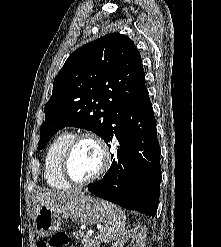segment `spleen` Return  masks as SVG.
Here are the masks:
<instances>
[{
  "mask_svg": "<svg viewBox=\"0 0 221 247\" xmlns=\"http://www.w3.org/2000/svg\"><path fill=\"white\" fill-rule=\"evenodd\" d=\"M106 218L105 225L98 236L101 242H110L117 240L125 233L124 212L117 206L106 202Z\"/></svg>",
  "mask_w": 221,
  "mask_h": 247,
  "instance_id": "obj_1",
  "label": "spleen"
}]
</instances>
